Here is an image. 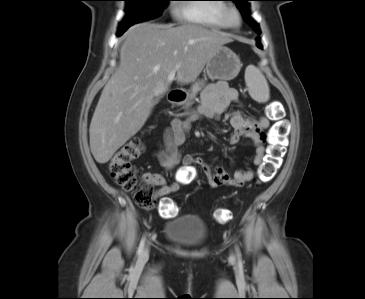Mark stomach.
I'll use <instances>...</instances> for the list:
<instances>
[{
    "mask_svg": "<svg viewBox=\"0 0 365 299\" xmlns=\"http://www.w3.org/2000/svg\"><path fill=\"white\" fill-rule=\"evenodd\" d=\"M239 57L228 47L217 49L206 64V73L212 80H232L241 69Z\"/></svg>",
    "mask_w": 365,
    "mask_h": 299,
    "instance_id": "obj_1",
    "label": "stomach"
}]
</instances>
